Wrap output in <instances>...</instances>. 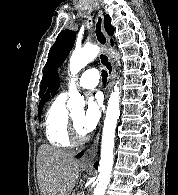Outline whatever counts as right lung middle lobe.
I'll return each mask as SVG.
<instances>
[{"instance_id":"dd1d6c3e","label":"right lung middle lobe","mask_w":178,"mask_h":195,"mask_svg":"<svg viewBox=\"0 0 178 195\" xmlns=\"http://www.w3.org/2000/svg\"><path fill=\"white\" fill-rule=\"evenodd\" d=\"M43 105L38 108V117L41 118V111H42Z\"/></svg>"}]
</instances>
